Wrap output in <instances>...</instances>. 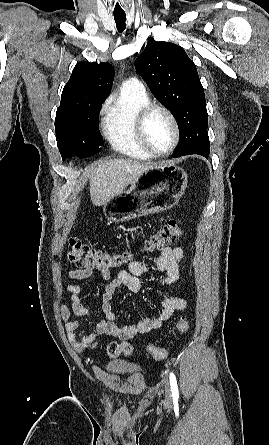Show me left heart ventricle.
Here are the masks:
<instances>
[{
  "mask_svg": "<svg viewBox=\"0 0 269 445\" xmlns=\"http://www.w3.org/2000/svg\"><path fill=\"white\" fill-rule=\"evenodd\" d=\"M145 135L156 152L167 151L174 139L173 125L168 116L162 111H153L146 121Z\"/></svg>",
  "mask_w": 269,
  "mask_h": 445,
  "instance_id": "1",
  "label": "left heart ventricle"
}]
</instances>
